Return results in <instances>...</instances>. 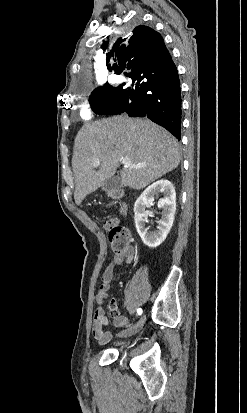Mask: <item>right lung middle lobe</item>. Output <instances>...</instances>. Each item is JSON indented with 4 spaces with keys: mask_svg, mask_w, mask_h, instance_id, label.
<instances>
[{
    "mask_svg": "<svg viewBox=\"0 0 247 413\" xmlns=\"http://www.w3.org/2000/svg\"><path fill=\"white\" fill-rule=\"evenodd\" d=\"M120 90L121 85L112 87L108 83L103 87L96 88L89 98L92 110L96 114H104L109 103L116 97Z\"/></svg>",
    "mask_w": 247,
    "mask_h": 413,
    "instance_id": "1",
    "label": "right lung middle lobe"
}]
</instances>
